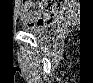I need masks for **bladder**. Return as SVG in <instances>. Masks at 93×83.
Here are the masks:
<instances>
[{
    "instance_id": "bladder-1",
    "label": "bladder",
    "mask_w": 93,
    "mask_h": 83,
    "mask_svg": "<svg viewBox=\"0 0 93 83\" xmlns=\"http://www.w3.org/2000/svg\"><path fill=\"white\" fill-rule=\"evenodd\" d=\"M31 32L38 37H44V30L41 28L32 27Z\"/></svg>"
}]
</instances>
